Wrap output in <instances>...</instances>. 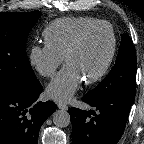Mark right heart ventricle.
<instances>
[{
    "label": "right heart ventricle",
    "mask_w": 144,
    "mask_h": 144,
    "mask_svg": "<svg viewBox=\"0 0 144 144\" xmlns=\"http://www.w3.org/2000/svg\"><path fill=\"white\" fill-rule=\"evenodd\" d=\"M100 20L92 17H63L52 21L44 30L47 46L60 56L65 53L75 36L86 26Z\"/></svg>",
    "instance_id": "e07e8e85"
}]
</instances>
